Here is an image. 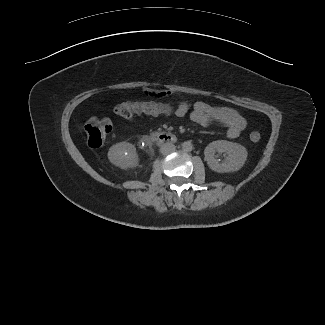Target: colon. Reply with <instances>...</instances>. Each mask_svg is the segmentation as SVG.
Here are the masks:
<instances>
[{
	"label": "colon",
	"instance_id": "1",
	"mask_svg": "<svg viewBox=\"0 0 325 325\" xmlns=\"http://www.w3.org/2000/svg\"><path fill=\"white\" fill-rule=\"evenodd\" d=\"M179 108L177 104L161 101H135L123 102L119 104L115 112L123 119L130 120L135 115H147L152 117H177ZM112 130V124L108 119L90 118L85 126L84 131L87 143L92 149H99L105 142L107 135ZM250 140L258 142L261 135L257 131L250 133Z\"/></svg>",
	"mask_w": 325,
	"mask_h": 325
}]
</instances>
